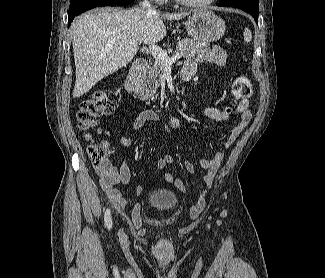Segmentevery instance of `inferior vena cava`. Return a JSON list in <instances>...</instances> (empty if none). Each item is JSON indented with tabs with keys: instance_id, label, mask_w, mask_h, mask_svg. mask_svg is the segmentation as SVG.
Returning <instances> with one entry per match:
<instances>
[{
	"instance_id": "obj_1",
	"label": "inferior vena cava",
	"mask_w": 325,
	"mask_h": 278,
	"mask_svg": "<svg viewBox=\"0 0 325 278\" xmlns=\"http://www.w3.org/2000/svg\"><path fill=\"white\" fill-rule=\"evenodd\" d=\"M141 7H142L143 9H146V10L156 11V10L151 6V4L149 3L148 0H144V1L142 2V4H141Z\"/></svg>"
}]
</instances>
